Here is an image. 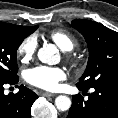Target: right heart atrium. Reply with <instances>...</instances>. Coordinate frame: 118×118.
Segmentation results:
<instances>
[{
	"mask_svg": "<svg viewBox=\"0 0 118 118\" xmlns=\"http://www.w3.org/2000/svg\"><path fill=\"white\" fill-rule=\"evenodd\" d=\"M37 46V37L35 35H29L18 45L17 56L23 63H27L34 57Z\"/></svg>",
	"mask_w": 118,
	"mask_h": 118,
	"instance_id": "obj_1",
	"label": "right heart atrium"
}]
</instances>
